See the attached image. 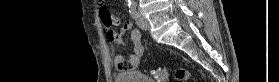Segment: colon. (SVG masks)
<instances>
[{
	"mask_svg": "<svg viewBox=\"0 0 279 82\" xmlns=\"http://www.w3.org/2000/svg\"><path fill=\"white\" fill-rule=\"evenodd\" d=\"M100 18L106 29H112V27L114 26V20L107 8L102 7L100 9ZM150 73L153 81L164 82L168 76V69L166 67H162L152 70ZM190 78L191 74L188 70L180 69L176 72L175 82H189Z\"/></svg>",
	"mask_w": 279,
	"mask_h": 82,
	"instance_id": "obj_1",
	"label": "colon"
}]
</instances>
